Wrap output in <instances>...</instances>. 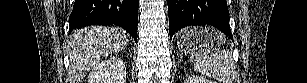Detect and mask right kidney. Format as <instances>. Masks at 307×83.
<instances>
[{
  "mask_svg": "<svg viewBox=\"0 0 307 83\" xmlns=\"http://www.w3.org/2000/svg\"><path fill=\"white\" fill-rule=\"evenodd\" d=\"M126 66L119 57L108 58L97 64L88 76V83H125Z\"/></svg>",
  "mask_w": 307,
  "mask_h": 83,
  "instance_id": "ca27d5eb",
  "label": "right kidney"
}]
</instances>
